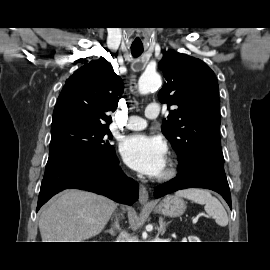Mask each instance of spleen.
<instances>
[{
	"mask_svg": "<svg viewBox=\"0 0 270 270\" xmlns=\"http://www.w3.org/2000/svg\"><path fill=\"white\" fill-rule=\"evenodd\" d=\"M175 195L184 197L198 204H204L206 213L213 216L218 225L225 227L228 224V216L224 207L210 192L203 189L191 188L179 190Z\"/></svg>",
	"mask_w": 270,
	"mask_h": 270,
	"instance_id": "1",
	"label": "spleen"
}]
</instances>
